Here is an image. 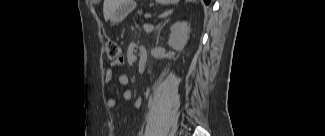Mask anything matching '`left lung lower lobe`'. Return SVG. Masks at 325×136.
Instances as JSON below:
<instances>
[{
  "label": "left lung lower lobe",
  "mask_w": 325,
  "mask_h": 136,
  "mask_svg": "<svg viewBox=\"0 0 325 136\" xmlns=\"http://www.w3.org/2000/svg\"><path fill=\"white\" fill-rule=\"evenodd\" d=\"M206 4H208L210 2V0H204Z\"/></svg>",
  "instance_id": "1"
}]
</instances>
